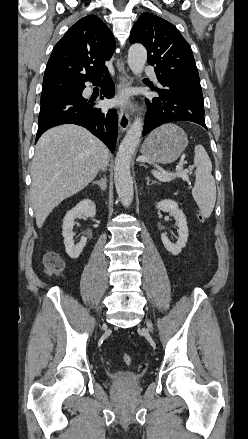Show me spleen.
<instances>
[{
	"mask_svg": "<svg viewBox=\"0 0 248 439\" xmlns=\"http://www.w3.org/2000/svg\"><path fill=\"white\" fill-rule=\"evenodd\" d=\"M194 165L196 167V181L192 189V196L201 214L205 218H209L216 202V185L211 174V160L205 148L200 144L195 146Z\"/></svg>",
	"mask_w": 248,
	"mask_h": 439,
	"instance_id": "obj_1",
	"label": "spleen"
}]
</instances>
